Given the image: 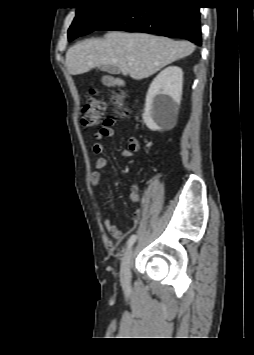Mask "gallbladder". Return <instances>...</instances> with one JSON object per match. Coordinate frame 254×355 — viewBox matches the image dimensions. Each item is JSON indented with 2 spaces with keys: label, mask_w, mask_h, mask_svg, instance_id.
I'll use <instances>...</instances> for the list:
<instances>
[{
  "label": "gallbladder",
  "mask_w": 254,
  "mask_h": 355,
  "mask_svg": "<svg viewBox=\"0 0 254 355\" xmlns=\"http://www.w3.org/2000/svg\"><path fill=\"white\" fill-rule=\"evenodd\" d=\"M100 70L106 71L108 73H118L119 69L117 67H112V66H101L99 67Z\"/></svg>",
  "instance_id": "obj_1"
}]
</instances>
